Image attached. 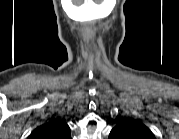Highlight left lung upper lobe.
<instances>
[{"mask_svg": "<svg viewBox=\"0 0 179 139\" xmlns=\"http://www.w3.org/2000/svg\"><path fill=\"white\" fill-rule=\"evenodd\" d=\"M110 138L129 137L137 139H154V135L144 124L134 120H125L118 124L110 133Z\"/></svg>", "mask_w": 179, "mask_h": 139, "instance_id": "left-lung-upper-lobe-1", "label": "left lung upper lobe"}]
</instances>
